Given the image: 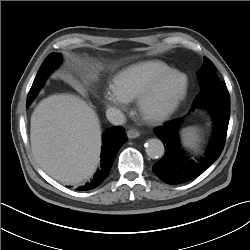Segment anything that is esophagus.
I'll list each match as a JSON object with an SVG mask.
<instances>
[{"instance_id":"34e87169","label":"esophagus","mask_w":250,"mask_h":250,"mask_svg":"<svg viewBox=\"0 0 250 250\" xmlns=\"http://www.w3.org/2000/svg\"><path fill=\"white\" fill-rule=\"evenodd\" d=\"M127 136L128 138L134 139L140 136L139 131L135 130V129H130L127 131Z\"/></svg>"}]
</instances>
